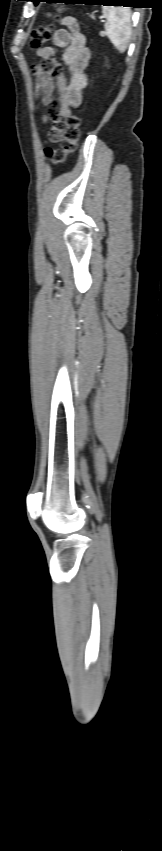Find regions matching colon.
<instances>
[{
  "label": "colon",
  "mask_w": 162,
  "mask_h": 851,
  "mask_svg": "<svg viewBox=\"0 0 162 851\" xmlns=\"http://www.w3.org/2000/svg\"><path fill=\"white\" fill-rule=\"evenodd\" d=\"M54 20L58 19L57 15H50ZM52 26L44 25L35 28L31 33L30 46L32 48H40L45 44L51 36ZM81 119L78 115H69L64 120L59 121L53 129V135L58 138L60 146L58 148H46L44 155L54 164L63 163L67 156L73 153L77 147L80 136Z\"/></svg>",
  "instance_id": "5ec220e1"
}]
</instances>
